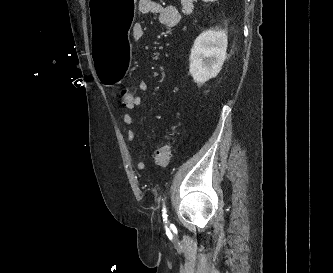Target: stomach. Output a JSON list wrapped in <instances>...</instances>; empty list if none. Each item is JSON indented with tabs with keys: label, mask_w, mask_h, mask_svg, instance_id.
<instances>
[{
	"label": "stomach",
	"mask_w": 333,
	"mask_h": 273,
	"mask_svg": "<svg viewBox=\"0 0 333 273\" xmlns=\"http://www.w3.org/2000/svg\"><path fill=\"white\" fill-rule=\"evenodd\" d=\"M96 80L105 86L129 75L131 49L128 32L135 19L136 0H88Z\"/></svg>",
	"instance_id": "0dacf381"
}]
</instances>
